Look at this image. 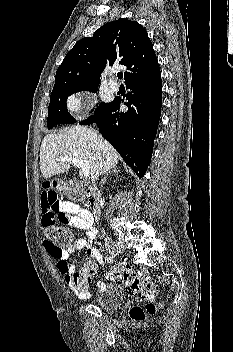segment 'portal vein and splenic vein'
<instances>
[{
	"label": "portal vein and splenic vein",
	"mask_w": 233,
	"mask_h": 352,
	"mask_svg": "<svg viewBox=\"0 0 233 352\" xmlns=\"http://www.w3.org/2000/svg\"><path fill=\"white\" fill-rule=\"evenodd\" d=\"M57 161H61V162H71L73 163L76 167L80 168L82 170V173L85 177H89L90 176V167H89V163L87 161L84 160H80V159H76L73 157H59L57 159Z\"/></svg>",
	"instance_id": "18ae733b"
}]
</instances>
